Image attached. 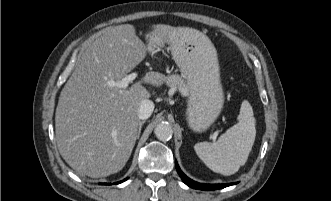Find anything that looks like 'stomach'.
Segmentation results:
<instances>
[{
    "label": "stomach",
    "instance_id": "stomach-1",
    "mask_svg": "<svg viewBox=\"0 0 331 201\" xmlns=\"http://www.w3.org/2000/svg\"><path fill=\"white\" fill-rule=\"evenodd\" d=\"M148 50L156 44L147 35ZM173 59L186 79L189 98L186 111L189 127L206 131L219 116L224 94L220 82L217 52L210 39L192 28L179 27L169 41Z\"/></svg>",
    "mask_w": 331,
    "mask_h": 201
}]
</instances>
